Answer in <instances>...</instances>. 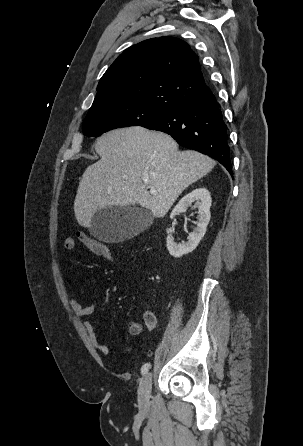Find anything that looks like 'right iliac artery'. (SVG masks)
<instances>
[{
    "instance_id": "1",
    "label": "right iliac artery",
    "mask_w": 303,
    "mask_h": 446,
    "mask_svg": "<svg viewBox=\"0 0 303 446\" xmlns=\"http://www.w3.org/2000/svg\"><path fill=\"white\" fill-rule=\"evenodd\" d=\"M149 367H150L149 363L144 364L141 368L142 374H146L148 372Z\"/></svg>"
}]
</instances>
